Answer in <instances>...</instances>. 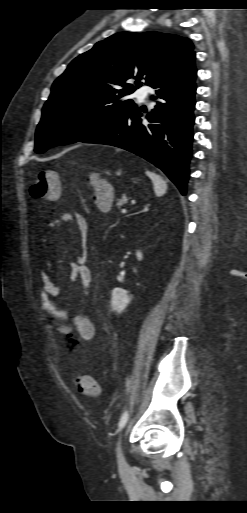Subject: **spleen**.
<instances>
[{
	"instance_id": "spleen-1",
	"label": "spleen",
	"mask_w": 247,
	"mask_h": 513,
	"mask_svg": "<svg viewBox=\"0 0 247 513\" xmlns=\"http://www.w3.org/2000/svg\"><path fill=\"white\" fill-rule=\"evenodd\" d=\"M147 174L153 182L155 195L161 197L166 194L168 189L167 182L158 174L153 172H147Z\"/></svg>"
}]
</instances>
